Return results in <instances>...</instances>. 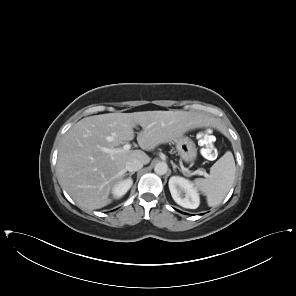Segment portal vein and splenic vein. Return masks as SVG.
I'll return each instance as SVG.
<instances>
[{"instance_id":"1","label":"portal vein and splenic vein","mask_w":296,"mask_h":296,"mask_svg":"<svg viewBox=\"0 0 296 296\" xmlns=\"http://www.w3.org/2000/svg\"><path fill=\"white\" fill-rule=\"evenodd\" d=\"M130 148H131L130 144H125L122 148H113V149L104 148L103 151L113 155V154H118V153L128 151V150H130ZM192 174L193 175H196V174L203 175L205 177H208V174L206 172L201 171V170H196Z\"/></svg>"}]
</instances>
